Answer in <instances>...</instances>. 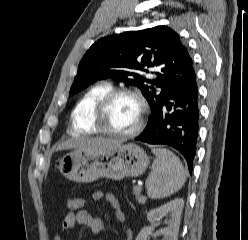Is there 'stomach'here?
Instances as JSON below:
<instances>
[{"label": "stomach", "mask_w": 248, "mask_h": 240, "mask_svg": "<svg viewBox=\"0 0 248 240\" xmlns=\"http://www.w3.org/2000/svg\"><path fill=\"white\" fill-rule=\"evenodd\" d=\"M149 163L141 147L128 143L97 151L75 150L62 157L59 170L69 180L91 183L102 177L121 180L140 176Z\"/></svg>", "instance_id": "0dacf381"}]
</instances>
